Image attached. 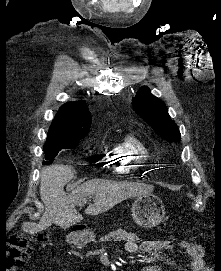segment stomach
Instances as JSON below:
<instances>
[{"mask_svg": "<svg viewBox=\"0 0 221 271\" xmlns=\"http://www.w3.org/2000/svg\"><path fill=\"white\" fill-rule=\"evenodd\" d=\"M166 209L158 199V197H149V195H141L137 197L132 205V217L141 227H155L161 223ZM94 239L95 235L91 230H80V233H74V238H87Z\"/></svg>", "mask_w": 221, "mask_h": 271, "instance_id": "0dacf381", "label": "stomach"}]
</instances>
